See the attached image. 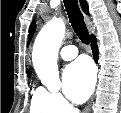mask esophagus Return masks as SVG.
<instances>
[{
  "label": "esophagus",
  "instance_id": "obj_1",
  "mask_svg": "<svg viewBox=\"0 0 121 113\" xmlns=\"http://www.w3.org/2000/svg\"><path fill=\"white\" fill-rule=\"evenodd\" d=\"M86 21L89 23L90 18L89 16L85 15ZM92 100L88 103L87 107L85 108V111L88 112L90 110V105H91Z\"/></svg>",
  "mask_w": 121,
  "mask_h": 113
}]
</instances>
